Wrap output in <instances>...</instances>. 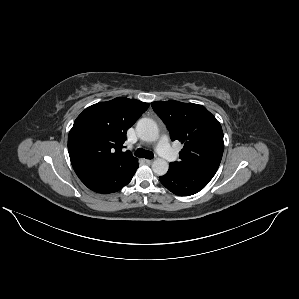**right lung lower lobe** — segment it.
<instances>
[{
  "instance_id": "1",
  "label": "right lung lower lobe",
  "mask_w": 299,
  "mask_h": 299,
  "mask_svg": "<svg viewBox=\"0 0 299 299\" xmlns=\"http://www.w3.org/2000/svg\"><path fill=\"white\" fill-rule=\"evenodd\" d=\"M138 168V162L118 170H110L97 176L81 180L85 186L97 193L107 194L127 185Z\"/></svg>"
}]
</instances>
